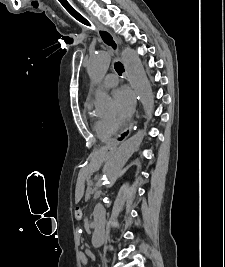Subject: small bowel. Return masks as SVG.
Masks as SVG:
<instances>
[{
  "label": "small bowel",
  "mask_w": 225,
  "mask_h": 267,
  "mask_svg": "<svg viewBox=\"0 0 225 267\" xmlns=\"http://www.w3.org/2000/svg\"><path fill=\"white\" fill-rule=\"evenodd\" d=\"M79 259L81 261L82 264L86 265L87 264V256L85 255V253H80L79 255Z\"/></svg>",
  "instance_id": "obj_1"
}]
</instances>
